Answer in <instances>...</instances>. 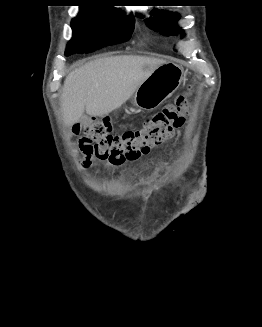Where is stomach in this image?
Listing matches in <instances>:
<instances>
[{"mask_svg": "<svg viewBox=\"0 0 262 327\" xmlns=\"http://www.w3.org/2000/svg\"><path fill=\"white\" fill-rule=\"evenodd\" d=\"M183 75V69L175 63L160 65L136 89L133 105L147 111L156 109L178 89Z\"/></svg>", "mask_w": 262, "mask_h": 327, "instance_id": "1", "label": "stomach"}]
</instances>
